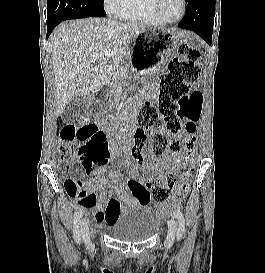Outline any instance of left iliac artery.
<instances>
[{"label": "left iliac artery", "instance_id": "44dca946", "mask_svg": "<svg viewBox=\"0 0 265 273\" xmlns=\"http://www.w3.org/2000/svg\"><path fill=\"white\" fill-rule=\"evenodd\" d=\"M174 214L177 218V223H178L177 239L180 240L184 234V231H185V219H184L183 213L178 208L175 209Z\"/></svg>", "mask_w": 265, "mask_h": 273}]
</instances>
